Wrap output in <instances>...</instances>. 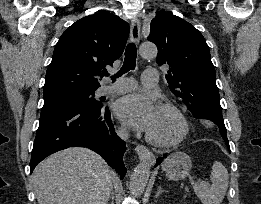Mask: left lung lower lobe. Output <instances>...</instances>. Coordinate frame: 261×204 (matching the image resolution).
<instances>
[{
  "mask_svg": "<svg viewBox=\"0 0 261 204\" xmlns=\"http://www.w3.org/2000/svg\"><path fill=\"white\" fill-rule=\"evenodd\" d=\"M222 137H223V139H224V141H225V144H226L227 146H229L227 136H226V135H222ZM229 151H230V150H229ZM165 157H166V155H164V158H165ZM162 160H163V158H158L156 165L160 164V163L162 162Z\"/></svg>",
  "mask_w": 261,
  "mask_h": 204,
  "instance_id": "left-lung-lower-lobe-1",
  "label": "left lung lower lobe"
}]
</instances>
